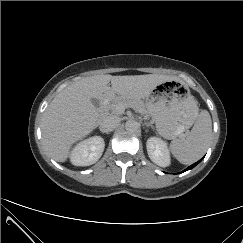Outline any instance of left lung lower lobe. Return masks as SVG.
<instances>
[{
	"label": "left lung lower lobe",
	"instance_id": "1",
	"mask_svg": "<svg viewBox=\"0 0 243 243\" xmlns=\"http://www.w3.org/2000/svg\"><path fill=\"white\" fill-rule=\"evenodd\" d=\"M200 161H201V160H199L198 162L192 164L191 166H189V167H188L186 170H184V171H187V170H189V169H192V168L195 167Z\"/></svg>",
	"mask_w": 243,
	"mask_h": 243
}]
</instances>
